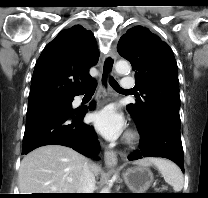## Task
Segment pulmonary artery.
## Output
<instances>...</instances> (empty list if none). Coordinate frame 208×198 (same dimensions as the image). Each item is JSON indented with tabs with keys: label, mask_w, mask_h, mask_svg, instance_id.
<instances>
[{
	"label": "pulmonary artery",
	"mask_w": 208,
	"mask_h": 198,
	"mask_svg": "<svg viewBox=\"0 0 208 198\" xmlns=\"http://www.w3.org/2000/svg\"><path fill=\"white\" fill-rule=\"evenodd\" d=\"M122 88L130 90L134 86V80L131 77H124L121 81Z\"/></svg>",
	"instance_id": "pulmonary-artery-1"
}]
</instances>
